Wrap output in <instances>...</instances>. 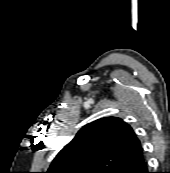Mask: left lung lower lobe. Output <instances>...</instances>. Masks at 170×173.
I'll return each instance as SVG.
<instances>
[{"label":"left lung lower lobe","instance_id":"0a47b994","mask_svg":"<svg viewBox=\"0 0 170 173\" xmlns=\"http://www.w3.org/2000/svg\"><path fill=\"white\" fill-rule=\"evenodd\" d=\"M115 173H150L144 155L136 157L121 166Z\"/></svg>","mask_w":170,"mask_h":173}]
</instances>
